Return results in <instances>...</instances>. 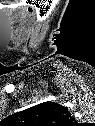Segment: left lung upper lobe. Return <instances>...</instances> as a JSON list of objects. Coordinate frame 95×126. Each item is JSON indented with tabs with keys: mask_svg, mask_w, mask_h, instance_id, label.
I'll return each mask as SVG.
<instances>
[{
	"mask_svg": "<svg viewBox=\"0 0 95 126\" xmlns=\"http://www.w3.org/2000/svg\"><path fill=\"white\" fill-rule=\"evenodd\" d=\"M18 126H71L73 118L61 104L47 101L10 116Z\"/></svg>",
	"mask_w": 95,
	"mask_h": 126,
	"instance_id": "left-lung-upper-lobe-1",
	"label": "left lung upper lobe"
}]
</instances>
